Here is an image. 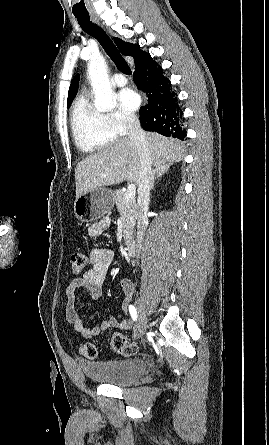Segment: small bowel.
<instances>
[{
    "instance_id": "small-bowel-1",
    "label": "small bowel",
    "mask_w": 269,
    "mask_h": 445,
    "mask_svg": "<svg viewBox=\"0 0 269 445\" xmlns=\"http://www.w3.org/2000/svg\"><path fill=\"white\" fill-rule=\"evenodd\" d=\"M108 224L109 220L107 218H103L99 222L92 224L88 230L89 235L92 237H100ZM113 259L114 253L112 250L108 248L93 249L88 257L90 268L87 269L81 277L74 278L66 288V319L84 338H92L110 328L129 329L131 326V321L126 316L121 321L113 317L107 318L104 319L99 326L89 328L85 325L76 307L75 293L78 289H86L93 299H97L100 296L101 287ZM120 285L125 295L122 310L126 315L130 306L129 302L133 295V285L125 278L120 281Z\"/></svg>"
}]
</instances>
